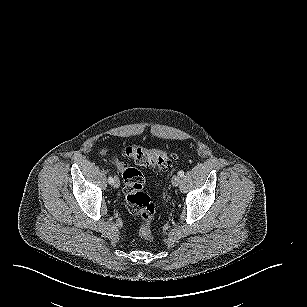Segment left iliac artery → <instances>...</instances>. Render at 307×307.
Masks as SVG:
<instances>
[{"label":"left iliac artery","instance_id":"44dca946","mask_svg":"<svg viewBox=\"0 0 307 307\" xmlns=\"http://www.w3.org/2000/svg\"><path fill=\"white\" fill-rule=\"evenodd\" d=\"M178 175H179L180 177H183V176H184V172L181 170V171L178 172Z\"/></svg>","mask_w":307,"mask_h":307}]
</instances>
